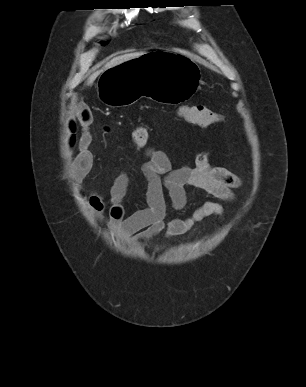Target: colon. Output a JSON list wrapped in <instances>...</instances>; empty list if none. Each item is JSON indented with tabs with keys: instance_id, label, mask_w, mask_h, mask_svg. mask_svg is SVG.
Masks as SVG:
<instances>
[{
	"instance_id": "colon-1",
	"label": "colon",
	"mask_w": 306,
	"mask_h": 387,
	"mask_svg": "<svg viewBox=\"0 0 306 387\" xmlns=\"http://www.w3.org/2000/svg\"><path fill=\"white\" fill-rule=\"evenodd\" d=\"M180 115L185 121L200 127H208L221 120L218 113L204 105L184 106L180 109ZM148 141V128L145 125H138L131 135L132 145L135 149H141Z\"/></svg>"
}]
</instances>
